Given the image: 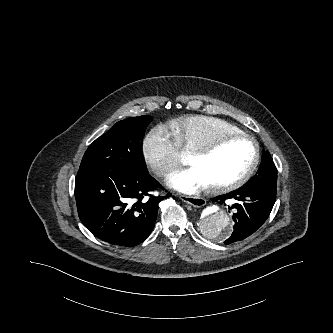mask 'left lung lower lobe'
<instances>
[{
	"label": "left lung lower lobe",
	"instance_id": "1",
	"mask_svg": "<svg viewBox=\"0 0 333 333\" xmlns=\"http://www.w3.org/2000/svg\"><path fill=\"white\" fill-rule=\"evenodd\" d=\"M229 199L236 200L231 207L235 212V224L225 244L243 240L263 225L274 206L276 190L243 186L237 191L214 198V201L225 203Z\"/></svg>",
	"mask_w": 333,
	"mask_h": 333
}]
</instances>
